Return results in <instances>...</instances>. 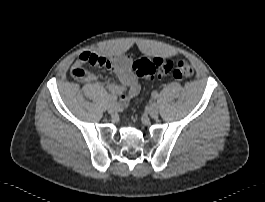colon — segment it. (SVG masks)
<instances>
[{
	"mask_svg": "<svg viewBox=\"0 0 265 202\" xmlns=\"http://www.w3.org/2000/svg\"><path fill=\"white\" fill-rule=\"evenodd\" d=\"M132 69L137 76L149 81L163 76L182 81L194 75V69L188 61L173 58L141 57L134 61ZM85 73L83 67L72 70V75L78 79H82Z\"/></svg>",
	"mask_w": 265,
	"mask_h": 202,
	"instance_id": "5ec220e1",
	"label": "colon"
}]
</instances>
